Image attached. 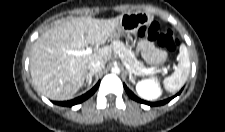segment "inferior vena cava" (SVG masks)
<instances>
[{
	"label": "inferior vena cava",
	"instance_id": "inferior-vena-cava-1",
	"mask_svg": "<svg viewBox=\"0 0 225 132\" xmlns=\"http://www.w3.org/2000/svg\"><path fill=\"white\" fill-rule=\"evenodd\" d=\"M105 66V63L103 61L100 60H92L89 64H88V70L90 71V73H97L100 72Z\"/></svg>",
	"mask_w": 225,
	"mask_h": 132
}]
</instances>
